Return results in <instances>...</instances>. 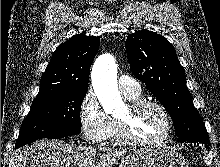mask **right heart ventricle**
<instances>
[{
  "label": "right heart ventricle",
  "mask_w": 220,
  "mask_h": 167,
  "mask_svg": "<svg viewBox=\"0 0 220 167\" xmlns=\"http://www.w3.org/2000/svg\"><path fill=\"white\" fill-rule=\"evenodd\" d=\"M127 97V99H129L130 101H134L139 99L140 95H125ZM108 138L115 144H120L122 143L121 140L119 139L118 136V125H117V121L113 118H111V128L108 134Z\"/></svg>",
  "instance_id": "right-heart-ventricle-1"
}]
</instances>
